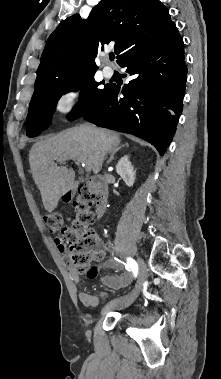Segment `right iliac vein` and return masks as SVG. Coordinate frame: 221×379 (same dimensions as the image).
<instances>
[{"mask_svg":"<svg viewBox=\"0 0 221 379\" xmlns=\"http://www.w3.org/2000/svg\"><path fill=\"white\" fill-rule=\"evenodd\" d=\"M138 263H139V279H138V283H137L135 289L129 295H126L124 297L110 301L104 307V309H103L104 313L108 312L112 309H115V308L126 307V306L132 304L135 301V299L138 297V295L140 294V291L142 289L143 282L147 278V269H146L145 263L143 262L142 259H139Z\"/></svg>","mask_w":221,"mask_h":379,"instance_id":"obj_1","label":"right iliac vein"}]
</instances>
